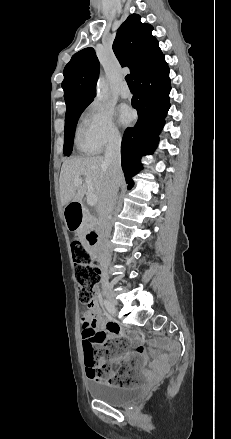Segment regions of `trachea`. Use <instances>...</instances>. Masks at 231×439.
I'll return each mask as SVG.
<instances>
[{
    "mask_svg": "<svg viewBox=\"0 0 231 439\" xmlns=\"http://www.w3.org/2000/svg\"><path fill=\"white\" fill-rule=\"evenodd\" d=\"M125 80L129 87H134V82L130 74L126 75Z\"/></svg>",
    "mask_w": 231,
    "mask_h": 439,
    "instance_id": "1",
    "label": "trachea"
}]
</instances>
